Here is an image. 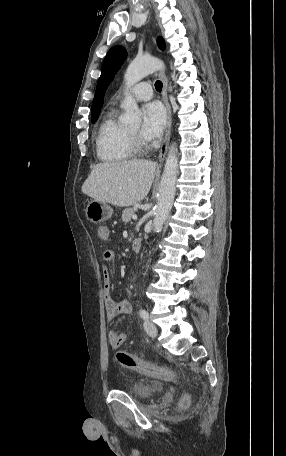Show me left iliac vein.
I'll use <instances>...</instances> for the list:
<instances>
[{"instance_id":"left-iliac-vein-1","label":"left iliac vein","mask_w":286,"mask_h":456,"mask_svg":"<svg viewBox=\"0 0 286 456\" xmlns=\"http://www.w3.org/2000/svg\"><path fill=\"white\" fill-rule=\"evenodd\" d=\"M143 326H144V329H145L146 333L149 336L156 337V335H157V327H156L155 324H153L149 320H145Z\"/></svg>"}]
</instances>
